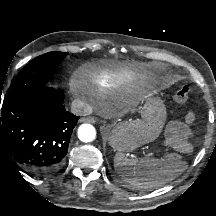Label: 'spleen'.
<instances>
[{
    "instance_id": "1",
    "label": "spleen",
    "mask_w": 216,
    "mask_h": 216,
    "mask_svg": "<svg viewBox=\"0 0 216 216\" xmlns=\"http://www.w3.org/2000/svg\"><path fill=\"white\" fill-rule=\"evenodd\" d=\"M114 167L123 182L144 190H152L174 180L184 169L173 160L149 157L137 159L122 152L116 153Z\"/></svg>"
}]
</instances>
